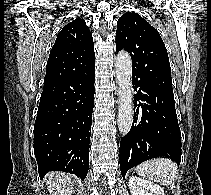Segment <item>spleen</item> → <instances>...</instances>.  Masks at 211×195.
<instances>
[{"label": "spleen", "mask_w": 211, "mask_h": 195, "mask_svg": "<svg viewBox=\"0 0 211 195\" xmlns=\"http://www.w3.org/2000/svg\"><path fill=\"white\" fill-rule=\"evenodd\" d=\"M143 178L159 182L162 185H170L177 177V165L170 159L157 158L146 161L135 168Z\"/></svg>", "instance_id": "obj_1"}]
</instances>
